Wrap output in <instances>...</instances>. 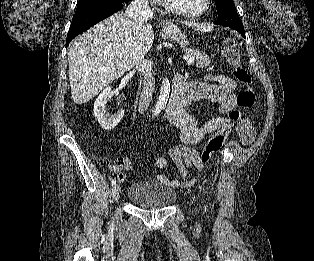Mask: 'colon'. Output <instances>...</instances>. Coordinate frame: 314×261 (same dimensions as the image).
Returning a JSON list of instances; mask_svg holds the SVG:
<instances>
[{
	"instance_id": "1",
	"label": "colon",
	"mask_w": 314,
	"mask_h": 261,
	"mask_svg": "<svg viewBox=\"0 0 314 261\" xmlns=\"http://www.w3.org/2000/svg\"><path fill=\"white\" fill-rule=\"evenodd\" d=\"M224 56L232 66L233 75L242 89L237 95V107L230 112L228 121L215 132L200 152L198 156V163L200 164L208 163L212 156L220 151L235 124L241 119L243 111L253 107L255 103L252 77L241 62L240 45L235 39L228 38L225 40Z\"/></svg>"
}]
</instances>
